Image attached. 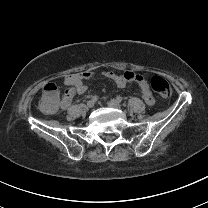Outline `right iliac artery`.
Instances as JSON below:
<instances>
[{"mask_svg": "<svg viewBox=\"0 0 208 208\" xmlns=\"http://www.w3.org/2000/svg\"><path fill=\"white\" fill-rule=\"evenodd\" d=\"M91 100H93L94 102H96L98 100V96H92Z\"/></svg>", "mask_w": 208, "mask_h": 208, "instance_id": "obj_1", "label": "right iliac artery"}]
</instances>
